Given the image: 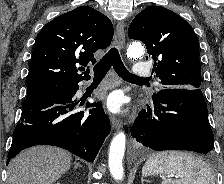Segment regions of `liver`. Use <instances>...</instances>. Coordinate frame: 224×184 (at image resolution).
<instances>
[{
    "mask_svg": "<svg viewBox=\"0 0 224 184\" xmlns=\"http://www.w3.org/2000/svg\"><path fill=\"white\" fill-rule=\"evenodd\" d=\"M67 151L51 146L26 149L8 167L7 184H53L71 166Z\"/></svg>",
    "mask_w": 224,
    "mask_h": 184,
    "instance_id": "6515ba94",
    "label": "liver"
}]
</instances>
